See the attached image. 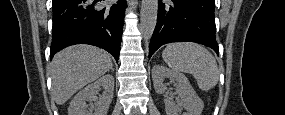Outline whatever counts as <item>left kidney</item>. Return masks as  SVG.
<instances>
[{
    "label": "left kidney",
    "instance_id": "5707ae66",
    "mask_svg": "<svg viewBox=\"0 0 285 115\" xmlns=\"http://www.w3.org/2000/svg\"><path fill=\"white\" fill-rule=\"evenodd\" d=\"M165 78H170L174 81L176 92L181 97V102L178 104H175L168 98L164 99L166 114L178 115L182 109H185V115H201L204 103L192 88L187 77L184 74L174 72L165 66L155 65L152 69V79L154 88L159 94L164 93L167 89L166 85L163 83Z\"/></svg>",
    "mask_w": 285,
    "mask_h": 115
}]
</instances>
